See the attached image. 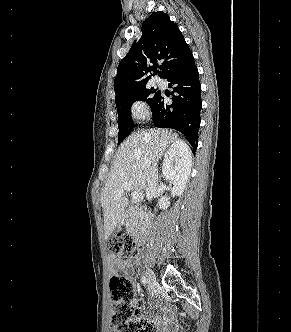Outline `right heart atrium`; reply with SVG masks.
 <instances>
[{
    "instance_id": "right-heart-atrium-1",
    "label": "right heart atrium",
    "mask_w": 291,
    "mask_h": 332,
    "mask_svg": "<svg viewBox=\"0 0 291 332\" xmlns=\"http://www.w3.org/2000/svg\"><path fill=\"white\" fill-rule=\"evenodd\" d=\"M132 114L136 118H143L147 114V109L143 103L136 102L132 106Z\"/></svg>"
}]
</instances>
